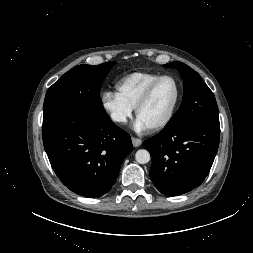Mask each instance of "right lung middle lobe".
Masks as SVG:
<instances>
[{
  "label": "right lung middle lobe",
  "instance_id": "dd1d6c3e",
  "mask_svg": "<svg viewBox=\"0 0 253 253\" xmlns=\"http://www.w3.org/2000/svg\"><path fill=\"white\" fill-rule=\"evenodd\" d=\"M115 64L113 61L95 66L82 64L66 72L46 93L43 122L74 112L84 116L105 113L100 89Z\"/></svg>",
  "mask_w": 253,
  "mask_h": 253
}]
</instances>
